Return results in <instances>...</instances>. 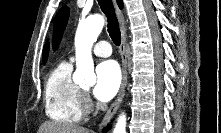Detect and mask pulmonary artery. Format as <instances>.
Listing matches in <instances>:
<instances>
[{"label": "pulmonary artery", "instance_id": "1", "mask_svg": "<svg viewBox=\"0 0 221 133\" xmlns=\"http://www.w3.org/2000/svg\"><path fill=\"white\" fill-rule=\"evenodd\" d=\"M93 53L98 57H109L112 53L110 43L108 41L98 42L93 49Z\"/></svg>", "mask_w": 221, "mask_h": 133}]
</instances>
